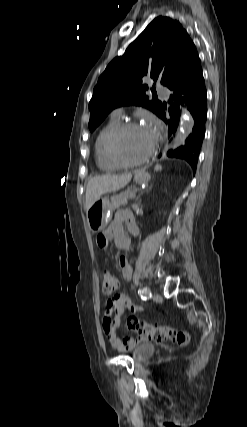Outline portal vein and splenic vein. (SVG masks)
I'll return each instance as SVG.
<instances>
[{"label":"portal vein and splenic vein","mask_w":247,"mask_h":427,"mask_svg":"<svg viewBox=\"0 0 247 427\" xmlns=\"http://www.w3.org/2000/svg\"><path fill=\"white\" fill-rule=\"evenodd\" d=\"M135 197V193L133 192L131 195H130V198H134Z\"/></svg>","instance_id":"portal-vein-and-splenic-vein-1"}]
</instances>
